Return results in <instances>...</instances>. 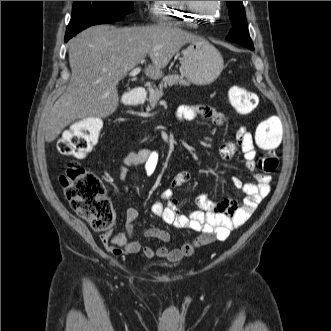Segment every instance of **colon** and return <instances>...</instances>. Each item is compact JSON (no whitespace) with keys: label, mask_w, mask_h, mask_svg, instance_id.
Masks as SVG:
<instances>
[{"label":"colon","mask_w":331,"mask_h":331,"mask_svg":"<svg viewBox=\"0 0 331 331\" xmlns=\"http://www.w3.org/2000/svg\"><path fill=\"white\" fill-rule=\"evenodd\" d=\"M228 96L232 107L242 114L251 112L257 105V97L240 86H232ZM101 127V121L95 118L75 122L59 140V152L77 160L85 158L98 143ZM282 134L283 121L278 116L265 119L257 128L256 143L260 148L268 150L258 160V168L264 174L273 173L278 167V158L271 150L280 145ZM59 180L71 208L79 216L99 231H107L113 227L115 212L106 196L104 185L96 174L78 161H72Z\"/></svg>","instance_id":"1"}]
</instances>
